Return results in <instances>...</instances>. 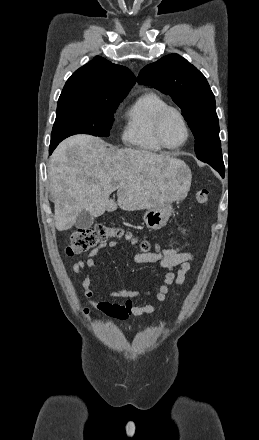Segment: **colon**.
Masks as SVG:
<instances>
[{
  "mask_svg": "<svg viewBox=\"0 0 259 440\" xmlns=\"http://www.w3.org/2000/svg\"><path fill=\"white\" fill-rule=\"evenodd\" d=\"M194 197L199 204H206L209 199V192L206 189H201L196 191ZM181 235L187 237L189 231L183 228L181 229ZM114 237H126L134 240L130 233H125L121 228H112L104 224H97L91 228L75 230L70 236L66 253L70 256L83 253L104 244L107 240ZM140 248L147 252L150 250V244L147 241H142Z\"/></svg>",
  "mask_w": 259,
  "mask_h": 440,
  "instance_id": "1",
  "label": "colon"
}]
</instances>
